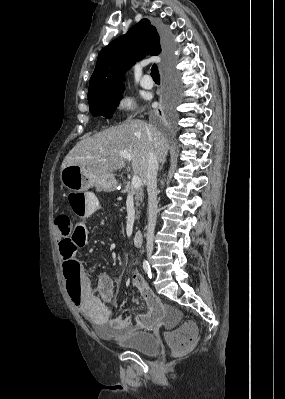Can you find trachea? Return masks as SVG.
Instances as JSON below:
<instances>
[{"mask_svg": "<svg viewBox=\"0 0 285 399\" xmlns=\"http://www.w3.org/2000/svg\"><path fill=\"white\" fill-rule=\"evenodd\" d=\"M151 77L153 78V80H160V75L156 64H153L151 68Z\"/></svg>", "mask_w": 285, "mask_h": 399, "instance_id": "trachea-1", "label": "trachea"}]
</instances>
